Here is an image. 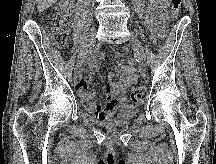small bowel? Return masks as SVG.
I'll return each mask as SVG.
<instances>
[{"label": "small bowel", "mask_w": 216, "mask_h": 164, "mask_svg": "<svg viewBox=\"0 0 216 164\" xmlns=\"http://www.w3.org/2000/svg\"><path fill=\"white\" fill-rule=\"evenodd\" d=\"M170 0H148L147 21L152 29L153 36L157 39L161 36L163 22L166 17ZM99 62V54L93 53L87 61L85 72H94ZM118 81H114V75L109 76L108 103L106 106L95 102L96 94L88 90L90 77H82L75 73V87L84 108L97 120H109L117 116L120 108H129L130 105L122 104L118 97L123 95L128 87L136 81V69L133 61H121L117 66Z\"/></svg>", "instance_id": "obj_1"}]
</instances>
